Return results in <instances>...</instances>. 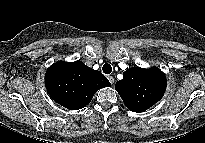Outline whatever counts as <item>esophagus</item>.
Here are the masks:
<instances>
[{
  "mask_svg": "<svg viewBox=\"0 0 205 143\" xmlns=\"http://www.w3.org/2000/svg\"><path fill=\"white\" fill-rule=\"evenodd\" d=\"M108 80L111 84H114V77L113 76H108Z\"/></svg>",
  "mask_w": 205,
  "mask_h": 143,
  "instance_id": "obj_1",
  "label": "esophagus"
}]
</instances>
